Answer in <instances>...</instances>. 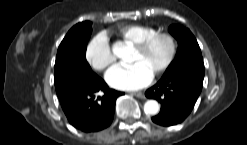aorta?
<instances>
[{
	"instance_id": "762f6f07",
	"label": "aorta",
	"mask_w": 247,
	"mask_h": 145,
	"mask_svg": "<svg viewBox=\"0 0 247 145\" xmlns=\"http://www.w3.org/2000/svg\"><path fill=\"white\" fill-rule=\"evenodd\" d=\"M113 52L118 57H123L124 53L126 52V49L124 47L115 46L113 49ZM160 106L157 101L155 100H148L144 104V111L147 114L155 115L159 112Z\"/></svg>"
}]
</instances>
